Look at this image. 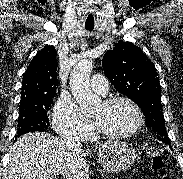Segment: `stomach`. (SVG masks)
I'll list each match as a JSON object with an SVG mask.
<instances>
[{"instance_id":"0dacf381","label":"stomach","mask_w":183,"mask_h":179,"mask_svg":"<svg viewBox=\"0 0 183 179\" xmlns=\"http://www.w3.org/2000/svg\"><path fill=\"white\" fill-rule=\"evenodd\" d=\"M99 162L101 166L110 172L129 169L140 154L126 142H109L99 148Z\"/></svg>"}]
</instances>
